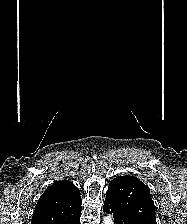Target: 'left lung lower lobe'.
<instances>
[{
    "label": "left lung lower lobe",
    "instance_id": "1",
    "mask_svg": "<svg viewBox=\"0 0 187 224\" xmlns=\"http://www.w3.org/2000/svg\"><path fill=\"white\" fill-rule=\"evenodd\" d=\"M103 211L113 214L115 224H134L133 222L127 220L124 217V215L116 207L115 203L112 200H110L108 197H106L105 199Z\"/></svg>",
    "mask_w": 187,
    "mask_h": 224
}]
</instances>
